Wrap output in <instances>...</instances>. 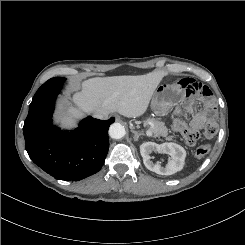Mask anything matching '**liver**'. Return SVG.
Listing matches in <instances>:
<instances>
[{"label":"liver","instance_id":"obj_1","mask_svg":"<svg viewBox=\"0 0 245 245\" xmlns=\"http://www.w3.org/2000/svg\"><path fill=\"white\" fill-rule=\"evenodd\" d=\"M164 76V71H153L137 76L88 79L82 82V91L73 96L77 108L65 107L58 119L65 126H73L84 113H119L125 117H139L146 112Z\"/></svg>","mask_w":245,"mask_h":245}]
</instances>
